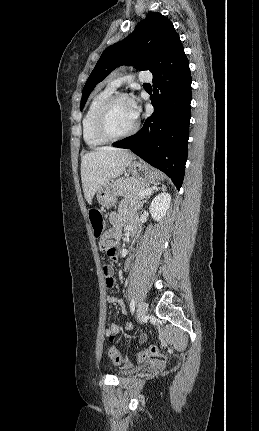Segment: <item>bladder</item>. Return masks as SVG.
I'll return each mask as SVG.
<instances>
[{
  "label": "bladder",
  "mask_w": 259,
  "mask_h": 431,
  "mask_svg": "<svg viewBox=\"0 0 259 431\" xmlns=\"http://www.w3.org/2000/svg\"><path fill=\"white\" fill-rule=\"evenodd\" d=\"M137 370H138V368H136V367L126 368V369H123V370H120L119 372H117V376L118 377H125V376H128V375L135 373Z\"/></svg>",
  "instance_id": "1"
}]
</instances>
